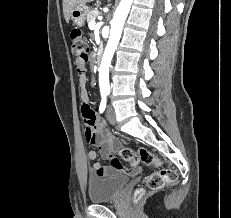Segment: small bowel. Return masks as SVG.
Returning a JSON list of instances; mask_svg holds the SVG:
<instances>
[{
  "label": "small bowel",
  "mask_w": 231,
  "mask_h": 218,
  "mask_svg": "<svg viewBox=\"0 0 231 218\" xmlns=\"http://www.w3.org/2000/svg\"><path fill=\"white\" fill-rule=\"evenodd\" d=\"M77 69L75 70L76 74H79V82L82 87L80 98L82 101V115L86 128L84 131L85 138L87 142L98 147L99 154L103 159L110 160V166H103L100 162L96 161L98 153L95 150H90L87 153L88 160L93 162L92 172L93 174L99 176H113L117 174H123L127 176H135L139 173V168H124L121 163L118 167L112 165V161L116 159L114 153L119 148L118 141L108 132L105 124L96 121V114L94 109L90 106V100L88 93L85 89V84L87 81L86 74L88 70L85 69L86 63H88V58L84 56H79L76 59Z\"/></svg>",
  "instance_id": "small-bowel-1"
}]
</instances>
